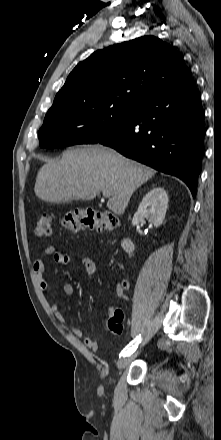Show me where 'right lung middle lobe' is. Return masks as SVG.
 <instances>
[{
	"label": "right lung middle lobe",
	"mask_w": 221,
	"mask_h": 440,
	"mask_svg": "<svg viewBox=\"0 0 221 440\" xmlns=\"http://www.w3.org/2000/svg\"><path fill=\"white\" fill-rule=\"evenodd\" d=\"M134 107L117 103L74 104L49 110L39 130V145L60 148L93 144L108 138L130 117Z\"/></svg>",
	"instance_id": "obj_1"
}]
</instances>
